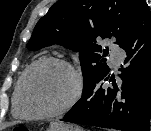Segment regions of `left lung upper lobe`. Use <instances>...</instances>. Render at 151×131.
I'll use <instances>...</instances> for the list:
<instances>
[{
	"label": "left lung upper lobe",
	"instance_id": "5c2ea615",
	"mask_svg": "<svg viewBox=\"0 0 151 131\" xmlns=\"http://www.w3.org/2000/svg\"><path fill=\"white\" fill-rule=\"evenodd\" d=\"M145 0H61L36 24L27 49L36 51L57 43L79 52L83 92L110 71L98 40L113 38L121 48ZM103 53V54H102Z\"/></svg>",
	"mask_w": 151,
	"mask_h": 131
}]
</instances>
